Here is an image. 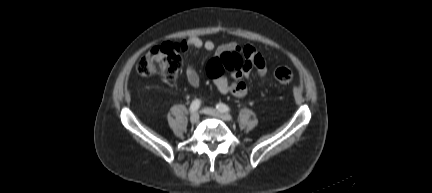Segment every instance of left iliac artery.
I'll list each match as a JSON object with an SVG mask.
<instances>
[{"mask_svg":"<svg viewBox=\"0 0 432 193\" xmlns=\"http://www.w3.org/2000/svg\"><path fill=\"white\" fill-rule=\"evenodd\" d=\"M216 108L222 112H229L230 111V108L226 104H223V103L217 104Z\"/></svg>","mask_w":432,"mask_h":193,"instance_id":"44dca946","label":"left iliac artery"}]
</instances>
